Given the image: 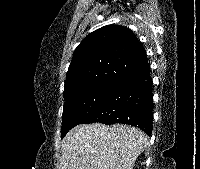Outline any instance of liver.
Instances as JSON below:
<instances>
[{
    "instance_id": "obj_1",
    "label": "liver",
    "mask_w": 200,
    "mask_h": 169,
    "mask_svg": "<svg viewBox=\"0 0 200 169\" xmlns=\"http://www.w3.org/2000/svg\"><path fill=\"white\" fill-rule=\"evenodd\" d=\"M147 144V136L136 127L81 124L62 141L59 169H133Z\"/></svg>"
}]
</instances>
